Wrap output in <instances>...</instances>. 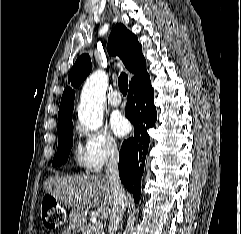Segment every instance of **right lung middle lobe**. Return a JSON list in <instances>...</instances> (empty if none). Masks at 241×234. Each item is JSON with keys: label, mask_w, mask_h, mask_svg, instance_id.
I'll return each mask as SVG.
<instances>
[{"label": "right lung middle lobe", "mask_w": 241, "mask_h": 234, "mask_svg": "<svg viewBox=\"0 0 241 234\" xmlns=\"http://www.w3.org/2000/svg\"><path fill=\"white\" fill-rule=\"evenodd\" d=\"M72 132L73 126L58 131V148L57 153L53 158V166H60L66 162L67 156L69 155L70 149L73 145Z\"/></svg>", "instance_id": "dd1d6c3e"}]
</instances>
